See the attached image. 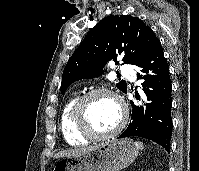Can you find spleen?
<instances>
[{
	"label": "spleen",
	"instance_id": "obj_1",
	"mask_svg": "<svg viewBox=\"0 0 199 171\" xmlns=\"http://www.w3.org/2000/svg\"><path fill=\"white\" fill-rule=\"evenodd\" d=\"M136 143V145H137V147L139 148V149H143V144H142V142H135Z\"/></svg>",
	"mask_w": 199,
	"mask_h": 171
}]
</instances>
